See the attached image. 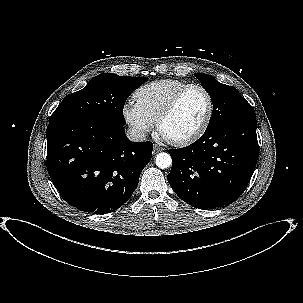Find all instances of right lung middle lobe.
I'll return each mask as SVG.
<instances>
[{
  "label": "right lung middle lobe",
  "mask_w": 303,
  "mask_h": 303,
  "mask_svg": "<svg viewBox=\"0 0 303 303\" xmlns=\"http://www.w3.org/2000/svg\"><path fill=\"white\" fill-rule=\"evenodd\" d=\"M147 81L145 77L103 73L75 93L69 94L50 116L49 123L99 120L125 125L123 107L130 94Z\"/></svg>",
  "instance_id": "dd1d6c3e"
}]
</instances>
